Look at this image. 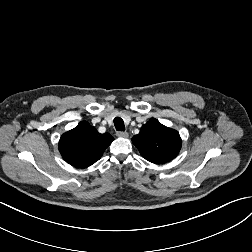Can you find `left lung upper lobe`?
<instances>
[{
	"instance_id": "left-lung-upper-lobe-1",
	"label": "left lung upper lobe",
	"mask_w": 252,
	"mask_h": 252,
	"mask_svg": "<svg viewBox=\"0 0 252 252\" xmlns=\"http://www.w3.org/2000/svg\"><path fill=\"white\" fill-rule=\"evenodd\" d=\"M132 142L146 160L156 164L175 158L182 144L176 130L162 125L154 118L141 127Z\"/></svg>"
}]
</instances>
